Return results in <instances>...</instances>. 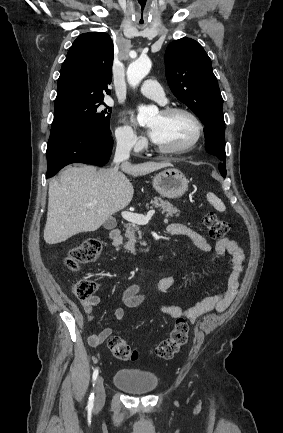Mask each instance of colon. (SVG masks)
<instances>
[{
	"instance_id": "1",
	"label": "colon",
	"mask_w": 283,
	"mask_h": 433,
	"mask_svg": "<svg viewBox=\"0 0 283 433\" xmlns=\"http://www.w3.org/2000/svg\"><path fill=\"white\" fill-rule=\"evenodd\" d=\"M203 224L209 237L214 240L224 238L230 230V224L212 211L204 214ZM101 251V241L97 238H88L70 250L65 264L70 270L76 271L82 265L94 262L100 256ZM95 291L96 284L87 279L79 280L73 287L74 295L80 300L89 298ZM188 332L189 326L185 318H177L169 337L154 348L155 355L162 359L171 358L187 343ZM108 348L111 354L119 360L128 361L138 358V352L119 335L109 338Z\"/></svg>"
}]
</instances>
